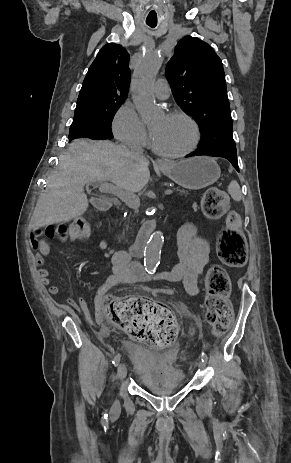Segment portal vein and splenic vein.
Returning <instances> with one entry per match:
<instances>
[{
	"label": "portal vein and splenic vein",
	"mask_w": 291,
	"mask_h": 463,
	"mask_svg": "<svg viewBox=\"0 0 291 463\" xmlns=\"http://www.w3.org/2000/svg\"><path fill=\"white\" fill-rule=\"evenodd\" d=\"M95 182L98 184V188L101 192L115 195L126 204H128L131 208L137 209L140 206V199L133 192L127 191L105 181ZM164 193L169 195L173 193V190L166 189Z\"/></svg>",
	"instance_id": "obj_1"
}]
</instances>
